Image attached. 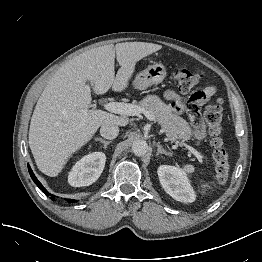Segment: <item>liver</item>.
Masks as SVG:
<instances>
[{"label":"liver","instance_id":"6515ba94","mask_svg":"<svg viewBox=\"0 0 262 262\" xmlns=\"http://www.w3.org/2000/svg\"><path fill=\"white\" fill-rule=\"evenodd\" d=\"M161 45L125 42L93 48L69 60L49 80L35 106L29 128V146L38 169L57 176L68 159L106 123L126 126L130 119L91 110L90 81L97 94L110 88H128L136 63ZM121 66L115 76L114 61Z\"/></svg>","mask_w":262,"mask_h":262}]
</instances>
